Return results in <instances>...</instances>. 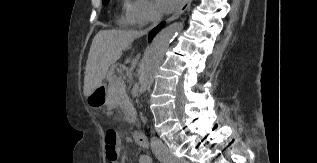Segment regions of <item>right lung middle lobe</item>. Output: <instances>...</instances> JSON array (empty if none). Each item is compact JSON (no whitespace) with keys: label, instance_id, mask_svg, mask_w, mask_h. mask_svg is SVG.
I'll list each match as a JSON object with an SVG mask.
<instances>
[{"label":"right lung middle lobe","instance_id":"right-lung-middle-lobe-1","mask_svg":"<svg viewBox=\"0 0 317 163\" xmlns=\"http://www.w3.org/2000/svg\"><path fill=\"white\" fill-rule=\"evenodd\" d=\"M108 1H109V0H103V3H104L105 5H107Z\"/></svg>","mask_w":317,"mask_h":163}]
</instances>
